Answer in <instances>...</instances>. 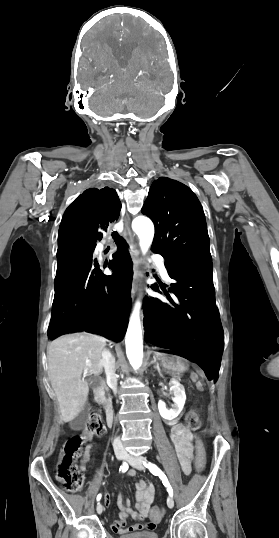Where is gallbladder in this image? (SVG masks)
<instances>
[{"mask_svg": "<svg viewBox=\"0 0 279 538\" xmlns=\"http://www.w3.org/2000/svg\"><path fill=\"white\" fill-rule=\"evenodd\" d=\"M89 384L91 387H100L102 384V379L100 376H91L89 378ZM88 406H91V403H88ZM88 418V410L82 409L78 417L73 419L72 424L74 427L79 428L85 425V421H87Z\"/></svg>", "mask_w": 279, "mask_h": 538, "instance_id": "obj_1", "label": "gallbladder"}]
</instances>
